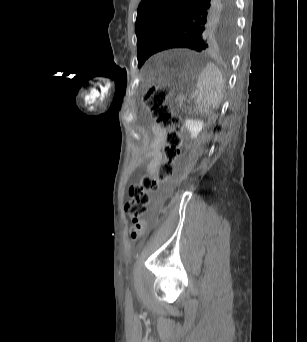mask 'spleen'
<instances>
[{
	"label": "spleen",
	"mask_w": 307,
	"mask_h": 342,
	"mask_svg": "<svg viewBox=\"0 0 307 342\" xmlns=\"http://www.w3.org/2000/svg\"><path fill=\"white\" fill-rule=\"evenodd\" d=\"M223 76L215 64H207L196 82L195 104L199 114H216L223 98Z\"/></svg>",
	"instance_id": "3e777b00"
}]
</instances>
